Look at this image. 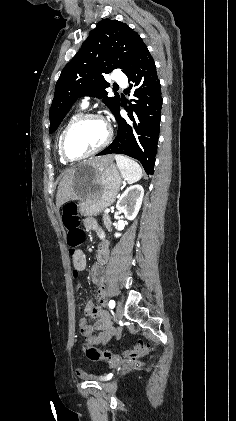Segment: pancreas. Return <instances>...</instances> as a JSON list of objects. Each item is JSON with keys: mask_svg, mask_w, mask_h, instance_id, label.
I'll use <instances>...</instances> for the list:
<instances>
[{"mask_svg": "<svg viewBox=\"0 0 236 421\" xmlns=\"http://www.w3.org/2000/svg\"><path fill=\"white\" fill-rule=\"evenodd\" d=\"M103 221L106 229H108V231H111V219L109 213H103Z\"/></svg>", "mask_w": 236, "mask_h": 421, "instance_id": "1", "label": "pancreas"}]
</instances>
